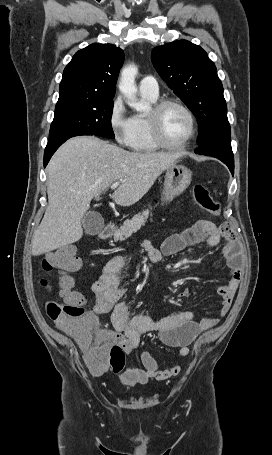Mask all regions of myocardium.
Wrapping results in <instances>:
<instances>
[{"instance_id":"1","label":"myocardium","mask_w":272,"mask_h":455,"mask_svg":"<svg viewBox=\"0 0 272 455\" xmlns=\"http://www.w3.org/2000/svg\"><path fill=\"white\" fill-rule=\"evenodd\" d=\"M169 106H176L179 107L188 117L190 130L187 138L179 144H170L168 143L162 134L161 131V116L163 111ZM149 129L151 133V137L154 143L159 147L166 150H181L186 148L192 140L195 138L197 133V122L194 113L191 109L184 104L182 101L173 99V98H165L156 102L149 114L147 115Z\"/></svg>"}]
</instances>
